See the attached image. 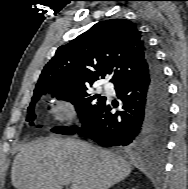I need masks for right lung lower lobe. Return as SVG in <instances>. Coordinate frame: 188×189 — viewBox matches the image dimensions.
<instances>
[{"label": "right lung lower lobe", "mask_w": 188, "mask_h": 189, "mask_svg": "<svg viewBox=\"0 0 188 189\" xmlns=\"http://www.w3.org/2000/svg\"><path fill=\"white\" fill-rule=\"evenodd\" d=\"M122 111L111 113L105 99L93 118L76 134L104 147H148L162 152L169 132V93L163 70L150 51L145 74L116 85Z\"/></svg>", "instance_id": "1"}]
</instances>
